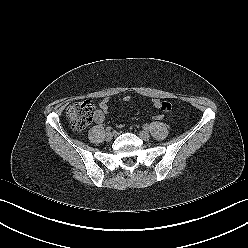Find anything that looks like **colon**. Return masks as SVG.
<instances>
[{
	"mask_svg": "<svg viewBox=\"0 0 248 248\" xmlns=\"http://www.w3.org/2000/svg\"><path fill=\"white\" fill-rule=\"evenodd\" d=\"M94 112V104L89 100H85L74 102L69 105L66 110V115L72 129H74L75 131H81L92 122ZM163 119V115L160 114L153 116V120L157 122L162 121Z\"/></svg>",
	"mask_w": 248,
	"mask_h": 248,
	"instance_id": "obj_1",
	"label": "colon"
}]
</instances>
